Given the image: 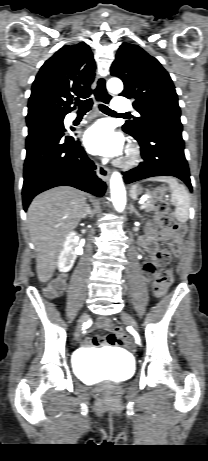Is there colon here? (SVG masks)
I'll return each mask as SVG.
<instances>
[{
	"label": "colon",
	"mask_w": 208,
	"mask_h": 461,
	"mask_svg": "<svg viewBox=\"0 0 208 461\" xmlns=\"http://www.w3.org/2000/svg\"><path fill=\"white\" fill-rule=\"evenodd\" d=\"M156 196L161 198L163 196V191L158 189L156 191ZM157 223L160 227L164 228L165 226L169 227V231L174 234V237L171 241L170 248L177 249L180 243V235L182 233V227L175 221L172 212L170 209L165 205H160L158 213H157ZM170 250L165 249L160 251L154 258V260L148 262L150 266L161 267L166 265L170 260ZM173 282V273L170 269H163L161 270L155 277L153 282V291L157 297H164L169 287ZM64 283L63 282H53L47 288V293L51 296L55 295L57 292L63 289ZM113 332L117 333V336H121V344L125 342V336L123 335L120 328H115Z\"/></svg>",
	"instance_id": "colon-1"
}]
</instances>
